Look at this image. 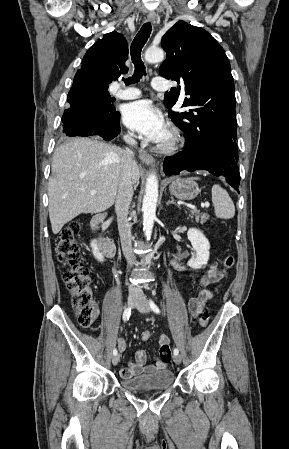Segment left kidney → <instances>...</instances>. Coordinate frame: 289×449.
I'll use <instances>...</instances> for the list:
<instances>
[{"label":"left kidney","instance_id":"left-kidney-1","mask_svg":"<svg viewBox=\"0 0 289 449\" xmlns=\"http://www.w3.org/2000/svg\"><path fill=\"white\" fill-rule=\"evenodd\" d=\"M187 237L196 251L195 256L188 261V266L192 269H201L207 265L209 260V241L203 233L196 228H190L187 232Z\"/></svg>","mask_w":289,"mask_h":449}]
</instances>
